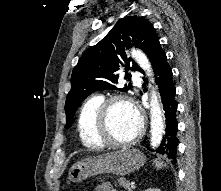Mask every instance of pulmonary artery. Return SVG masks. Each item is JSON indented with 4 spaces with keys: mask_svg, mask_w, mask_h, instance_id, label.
I'll list each match as a JSON object with an SVG mask.
<instances>
[{
    "mask_svg": "<svg viewBox=\"0 0 221 191\" xmlns=\"http://www.w3.org/2000/svg\"><path fill=\"white\" fill-rule=\"evenodd\" d=\"M131 77H132V79H133V81L136 83V84H140V78L138 77V74L137 73H135V72H133L132 74H131Z\"/></svg>",
    "mask_w": 221,
    "mask_h": 191,
    "instance_id": "pulmonary-artery-1",
    "label": "pulmonary artery"
}]
</instances>
